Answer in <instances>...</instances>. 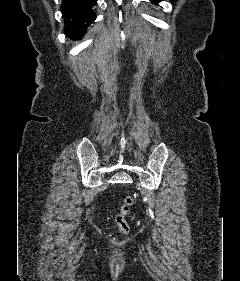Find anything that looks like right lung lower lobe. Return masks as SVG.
I'll return each mask as SVG.
<instances>
[{"instance_id":"right-lung-lower-lobe-1","label":"right lung lower lobe","mask_w":240,"mask_h":281,"mask_svg":"<svg viewBox=\"0 0 240 281\" xmlns=\"http://www.w3.org/2000/svg\"><path fill=\"white\" fill-rule=\"evenodd\" d=\"M97 0H63L62 13L66 19L67 35L81 39L87 28L96 19L92 7Z\"/></svg>"}]
</instances>
